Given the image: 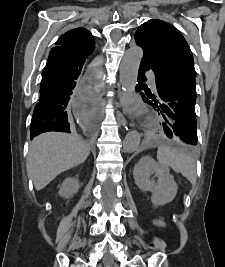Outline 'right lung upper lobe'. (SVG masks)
Segmentation results:
<instances>
[{
  "label": "right lung upper lobe",
  "instance_id": "1",
  "mask_svg": "<svg viewBox=\"0 0 225 267\" xmlns=\"http://www.w3.org/2000/svg\"><path fill=\"white\" fill-rule=\"evenodd\" d=\"M56 45L95 48L94 38L85 28H75L64 33L57 40Z\"/></svg>",
  "mask_w": 225,
  "mask_h": 267
}]
</instances>
